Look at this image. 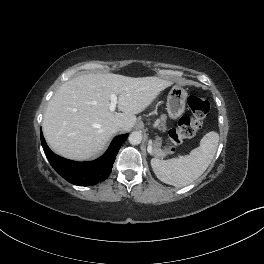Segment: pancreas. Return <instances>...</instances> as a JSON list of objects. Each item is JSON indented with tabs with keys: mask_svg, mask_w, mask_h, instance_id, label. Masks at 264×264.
I'll return each mask as SVG.
<instances>
[{
	"mask_svg": "<svg viewBox=\"0 0 264 264\" xmlns=\"http://www.w3.org/2000/svg\"><path fill=\"white\" fill-rule=\"evenodd\" d=\"M165 120H166V116L162 115L161 116V125L163 128L165 126V124H164ZM160 146H161V140H160V138H157V140L154 143L153 153L158 157H163L165 155V152L163 150H161Z\"/></svg>",
	"mask_w": 264,
	"mask_h": 264,
	"instance_id": "obj_1",
	"label": "pancreas"
}]
</instances>
